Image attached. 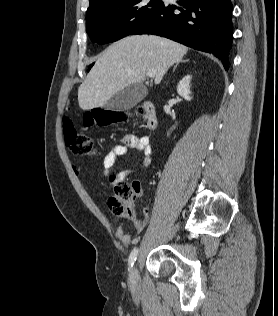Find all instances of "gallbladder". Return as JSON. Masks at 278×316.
Returning a JSON list of instances; mask_svg holds the SVG:
<instances>
[{"instance_id":"obj_1","label":"gallbladder","mask_w":278,"mask_h":316,"mask_svg":"<svg viewBox=\"0 0 278 316\" xmlns=\"http://www.w3.org/2000/svg\"><path fill=\"white\" fill-rule=\"evenodd\" d=\"M147 95V89L142 84H132L116 93L104 105L106 110L126 111L136 106Z\"/></svg>"}]
</instances>
